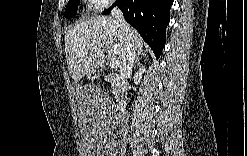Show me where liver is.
<instances>
[{
	"label": "liver",
	"mask_w": 247,
	"mask_h": 156,
	"mask_svg": "<svg viewBox=\"0 0 247 156\" xmlns=\"http://www.w3.org/2000/svg\"><path fill=\"white\" fill-rule=\"evenodd\" d=\"M129 37L136 52L141 53L144 42L139 33L130 27ZM64 40L68 70L76 83L101 67L106 59L119 67L126 49V36L107 16L76 22L66 29Z\"/></svg>",
	"instance_id": "6515ba94"
}]
</instances>
